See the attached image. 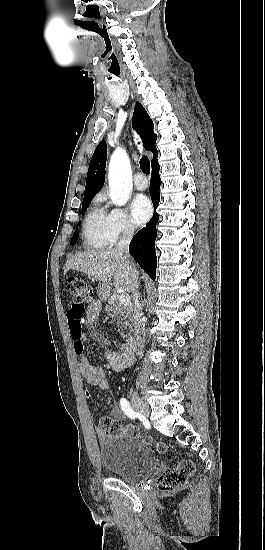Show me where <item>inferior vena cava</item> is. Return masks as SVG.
Returning a JSON list of instances; mask_svg holds the SVG:
<instances>
[{"instance_id": "602c4592", "label": "inferior vena cava", "mask_w": 265, "mask_h": 550, "mask_svg": "<svg viewBox=\"0 0 265 550\" xmlns=\"http://www.w3.org/2000/svg\"><path fill=\"white\" fill-rule=\"evenodd\" d=\"M134 234V227L131 224H127L122 238L116 245V251L123 255L126 262L131 263V258L128 253L129 244ZM131 277H132V298H133V319H134V337L137 345V355L140 357L143 355V349L145 347V324L143 321L142 308L139 302V291H138V273L134 266L131 267Z\"/></svg>"}]
</instances>
